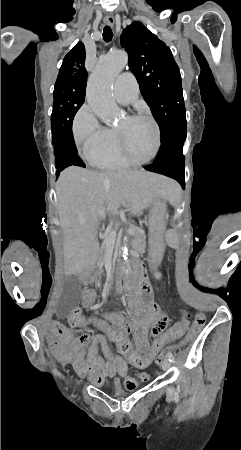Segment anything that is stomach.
I'll use <instances>...</instances> for the list:
<instances>
[{
    "mask_svg": "<svg viewBox=\"0 0 241 450\" xmlns=\"http://www.w3.org/2000/svg\"><path fill=\"white\" fill-rule=\"evenodd\" d=\"M165 234V203L156 198L152 201L149 211V263L158 265L164 256L166 244Z\"/></svg>",
    "mask_w": 241,
    "mask_h": 450,
    "instance_id": "stomach-1",
    "label": "stomach"
}]
</instances>
